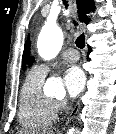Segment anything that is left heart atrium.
<instances>
[{
	"instance_id": "obj_1",
	"label": "left heart atrium",
	"mask_w": 116,
	"mask_h": 134,
	"mask_svg": "<svg viewBox=\"0 0 116 134\" xmlns=\"http://www.w3.org/2000/svg\"><path fill=\"white\" fill-rule=\"evenodd\" d=\"M85 82V74L78 66H71L64 73V87L69 97L78 96L83 90Z\"/></svg>"
}]
</instances>
